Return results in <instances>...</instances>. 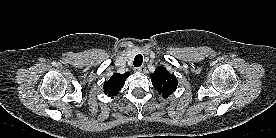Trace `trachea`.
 Segmentation results:
<instances>
[{
  "instance_id": "1",
  "label": "trachea",
  "mask_w": 276,
  "mask_h": 138,
  "mask_svg": "<svg viewBox=\"0 0 276 138\" xmlns=\"http://www.w3.org/2000/svg\"><path fill=\"white\" fill-rule=\"evenodd\" d=\"M143 63V56L141 54L136 55L133 64L135 67H140Z\"/></svg>"
}]
</instances>
